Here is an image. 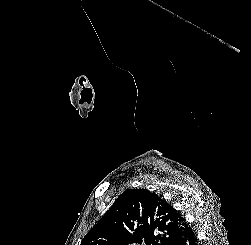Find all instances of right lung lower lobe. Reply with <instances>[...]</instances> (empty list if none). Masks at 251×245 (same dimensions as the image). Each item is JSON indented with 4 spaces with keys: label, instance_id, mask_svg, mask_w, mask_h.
I'll return each mask as SVG.
<instances>
[{
    "label": "right lung lower lobe",
    "instance_id": "right-lung-lower-lobe-1",
    "mask_svg": "<svg viewBox=\"0 0 251 245\" xmlns=\"http://www.w3.org/2000/svg\"><path fill=\"white\" fill-rule=\"evenodd\" d=\"M167 245H198L194 231L189 227L181 236L173 239Z\"/></svg>",
    "mask_w": 251,
    "mask_h": 245
}]
</instances>
